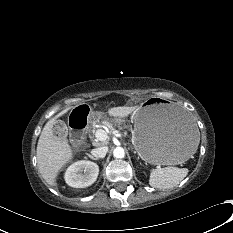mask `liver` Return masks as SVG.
Here are the masks:
<instances>
[{
    "label": "liver",
    "instance_id": "liver-1",
    "mask_svg": "<svg viewBox=\"0 0 233 233\" xmlns=\"http://www.w3.org/2000/svg\"><path fill=\"white\" fill-rule=\"evenodd\" d=\"M66 108L44 126L37 144V163L42 178L50 185L56 186V178L63 166L73 158L72 148L66 139L54 135L53 126L57 119L67 113ZM137 109V106H121L108 110L112 117L123 118Z\"/></svg>",
    "mask_w": 233,
    "mask_h": 233
}]
</instances>
